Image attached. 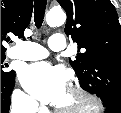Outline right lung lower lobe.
<instances>
[{
	"label": "right lung lower lobe",
	"mask_w": 121,
	"mask_h": 113,
	"mask_svg": "<svg viewBox=\"0 0 121 113\" xmlns=\"http://www.w3.org/2000/svg\"><path fill=\"white\" fill-rule=\"evenodd\" d=\"M15 85V71L6 77H1V113H8L10 95Z\"/></svg>",
	"instance_id": "1"
}]
</instances>
